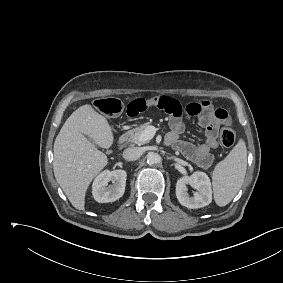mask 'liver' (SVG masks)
<instances>
[{"instance_id":"6515ba94","label":"liver","mask_w":283,"mask_h":283,"mask_svg":"<svg viewBox=\"0 0 283 283\" xmlns=\"http://www.w3.org/2000/svg\"><path fill=\"white\" fill-rule=\"evenodd\" d=\"M113 141L110 124L89 104L75 110L56 137L54 175L76 209L84 210L85 195L91 181L108 164L107 156L95 145L109 148Z\"/></svg>"}]
</instances>
